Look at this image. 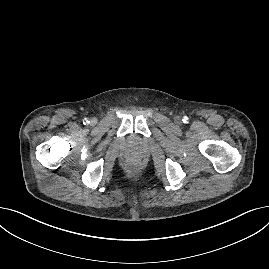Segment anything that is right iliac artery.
I'll return each instance as SVG.
<instances>
[{
  "label": "right iliac artery",
  "mask_w": 269,
  "mask_h": 269,
  "mask_svg": "<svg viewBox=\"0 0 269 269\" xmlns=\"http://www.w3.org/2000/svg\"><path fill=\"white\" fill-rule=\"evenodd\" d=\"M83 123H84V124H88V123H89V120H88L87 118H85V119L83 120Z\"/></svg>",
  "instance_id": "82829eb1"
}]
</instances>
